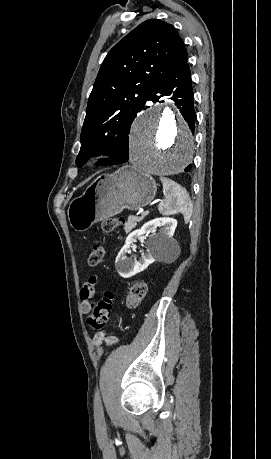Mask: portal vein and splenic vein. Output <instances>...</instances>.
Wrapping results in <instances>:
<instances>
[{
	"mask_svg": "<svg viewBox=\"0 0 271 459\" xmlns=\"http://www.w3.org/2000/svg\"><path fill=\"white\" fill-rule=\"evenodd\" d=\"M147 214H149V212L142 211V215H141V216H142V217H143V216H147Z\"/></svg>",
	"mask_w": 271,
	"mask_h": 459,
	"instance_id": "18ae733b",
	"label": "portal vein and splenic vein"
}]
</instances>
